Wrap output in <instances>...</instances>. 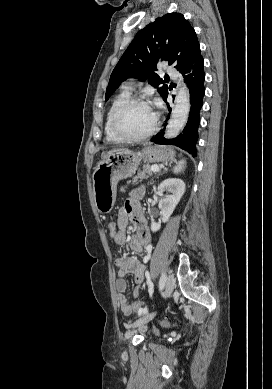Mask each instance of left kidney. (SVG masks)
<instances>
[{"instance_id": "5707ae66", "label": "left kidney", "mask_w": 272, "mask_h": 389, "mask_svg": "<svg viewBox=\"0 0 272 389\" xmlns=\"http://www.w3.org/2000/svg\"><path fill=\"white\" fill-rule=\"evenodd\" d=\"M164 190H167L170 194H167L159 202V209L162 214V222H167L172 215L175 207L179 203L181 197L185 192V183L183 180L178 178H169L165 179L158 186V192L163 193ZM161 222L156 223L152 220L151 230L156 232L160 229Z\"/></svg>"}]
</instances>
